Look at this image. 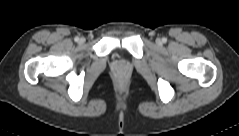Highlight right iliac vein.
I'll return each mask as SVG.
<instances>
[{"mask_svg":"<svg viewBox=\"0 0 239 136\" xmlns=\"http://www.w3.org/2000/svg\"><path fill=\"white\" fill-rule=\"evenodd\" d=\"M85 39L84 38H80L79 43H84Z\"/></svg>","mask_w":239,"mask_h":136,"instance_id":"obj_1","label":"right iliac vein"}]
</instances>
